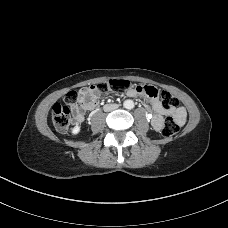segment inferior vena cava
<instances>
[{"label": "inferior vena cava", "instance_id": "602c4592", "mask_svg": "<svg viewBox=\"0 0 228 228\" xmlns=\"http://www.w3.org/2000/svg\"><path fill=\"white\" fill-rule=\"evenodd\" d=\"M118 108L117 104H107L103 107L105 112H110Z\"/></svg>", "mask_w": 228, "mask_h": 228}]
</instances>
